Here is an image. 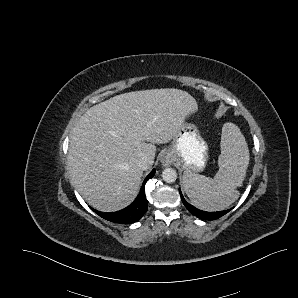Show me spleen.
I'll return each instance as SVG.
<instances>
[{"mask_svg": "<svg viewBox=\"0 0 298 298\" xmlns=\"http://www.w3.org/2000/svg\"><path fill=\"white\" fill-rule=\"evenodd\" d=\"M219 170L214 178L185 171L184 190L197 208L206 211H221L239 198L249 165L250 154L240 128L234 123H225L221 134Z\"/></svg>", "mask_w": 298, "mask_h": 298, "instance_id": "1", "label": "spleen"}]
</instances>
